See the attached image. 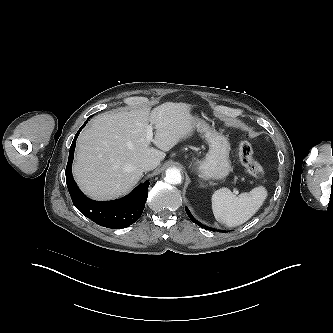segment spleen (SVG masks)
<instances>
[{
	"instance_id": "obj_1",
	"label": "spleen",
	"mask_w": 333,
	"mask_h": 333,
	"mask_svg": "<svg viewBox=\"0 0 333 333\" xmlns=\"http://www.w3.org/2000/svg\"><path fill=\"white\" fill-rule=\"evenodd\" d=\"M266 198L267 191L263 186L255 187L250 192L238 196L228 188H221L212 195V211L218 222L236 227L248 221L260 209Z\"/></svg>"
}]
</instances>
